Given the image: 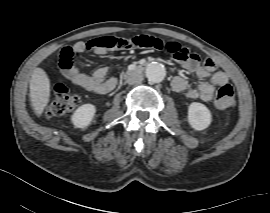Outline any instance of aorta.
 I'll return each mask as SVG.
<instances>
[{"instance_id": "1", "label": "aorta", "mask_w": 270, "mask_h": 213, "mask_svg": "<svg viewBox=\"0 0 270 213\" xmlns=\"http://www.w3.org/2000/svg\"><path fill=\"white\" fill-rule=\"evenodd\" d=\"M145 73L148 80L153 83H159L163 81L166 75L164 66L156 62L149 64Z\"/></svg>"}]
</instances>
